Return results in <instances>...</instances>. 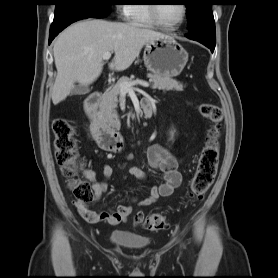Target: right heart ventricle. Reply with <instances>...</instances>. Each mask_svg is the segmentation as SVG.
I'll use <instances>...</instances> for the list:
<instances>
[{"label": "right heart ventricle", "mask_w": 278, "mask_h": 278, "mask_svg": "<svg viewBox=\"0 0 278 278\" xmlns=\"http://www.w3.org/2000/svg\"><path fill=\"white\" fill-rule=\"evenodd\" d=\"M129 21L145 27L155 26L150 18L148 4L136 3L130 5Z\"/></svg>", "instance_id": "e07e8e85"}]
</instances>
